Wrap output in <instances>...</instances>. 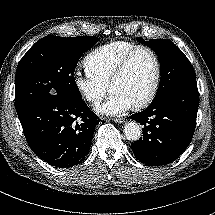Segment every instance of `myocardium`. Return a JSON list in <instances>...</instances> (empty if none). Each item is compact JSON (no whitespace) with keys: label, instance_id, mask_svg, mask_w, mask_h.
<instances>
[{"label":"myocardium","instance_id":"myocardium-1","mask_svg":"<svg viewBox=\"0 0 215 215\" xmlns=\"http://www.w3.org/2000/svg\"><path fill=\"white\" fill-rule=\"evenodd\" d=\"M142 50L147 51L152 56L155 64V72H154V77H153L151 87L147 95L144 97V99L141 102L135 105H132V108L135 111H140L147 108L155 98L156 93L158 91L160 79H161L162 67H161L160 58L156 53V51L147 45H137L133 47L119 59L118 63L116 64V67L114 68L108 80V88H109L110 84L124 73L133 56L137 52Z\"/></svg>","mask_w":215,"mask_h":215}]
</instances>
